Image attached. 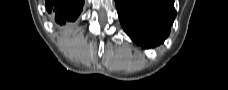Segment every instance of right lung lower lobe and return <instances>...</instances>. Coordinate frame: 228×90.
<instances>
[{
    "label": "right lung lower lobe",
    "mask_w": 228,
    "mask_h": 90,
    "mask_svg": "<svg viewBox=\"0 0 228 90\" xmlns=\"http://www.w3.org/2000/svg\"><path fill=\"white\" fill-rule=\"evenodd\" d=\"M82 6L83 0H46V9L49 13H55V19L60 25L76 20Z\"/></svg>",
    "instance_id": "obj_1"
}]
</instances>
